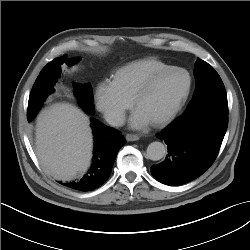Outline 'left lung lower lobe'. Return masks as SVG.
I'll return each instance as SVG.
<instances>
[{
    "label": "left lung lower lobe",
    "mask_w": 250,
    "mask_h": 250,
    "mask_svg": "<svg viewBox=\"0 0 250 250\" xmlns=\"http://www.w3.org/2000/svg\"><path fill=\"white\" fill-rule=\"evenodd\" d=\"M228 126L225 89L200 99L157 135L167 144L165 160L151 167L159 182L176 186L201 176L214 162Z\"/></svg>",
    "instance_id": "1"
}]
</instances>
